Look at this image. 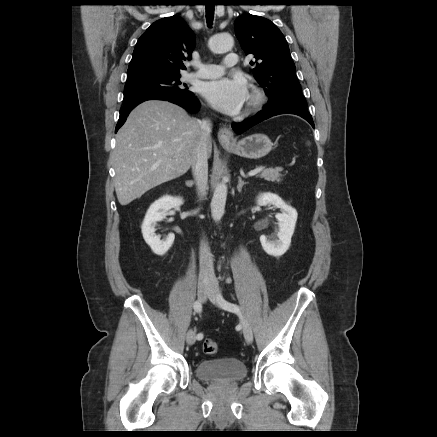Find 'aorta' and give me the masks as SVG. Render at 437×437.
<instances>
[{"instance_id": "aorta-1", "label": "aorta", "mask_w": 437, "mask_h": 437, "mask_svg": "<svg viewBox=\"0 0 437 437\" xmlns=\"http://www.w3.org/2000/svg\"><path fill=\"white\" fill-rule=\"evenodd\" d=\"M234 39L229 33H222L213 36L209 40V48L214 53H224L232 49ZM227 198V185L220 182L216 185L211 201V214L213 219L220 221L225 212Z\"/></svg>"}]
</instances>
